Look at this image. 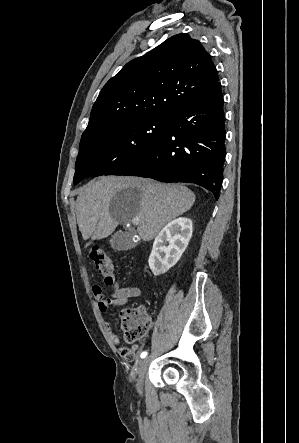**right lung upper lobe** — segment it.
<instances>
[{
    "mask_svg": "<svg viewBox=\"0 0 299 443\" xmlns=\"http://www.w3.org/2000/svg\"><path fill=\"white\" fill-rule=\"evenodd\" d=\"M219 77L210 55L177 34L127 63L103 87L82 138L138 118L168 116L208 92Z\"/></svg>",
    "mask_w": 299,
    "mask_h": 443,
    "instance_id": "1",
    "label": "right lung upper lobe"
}]
</instances>
